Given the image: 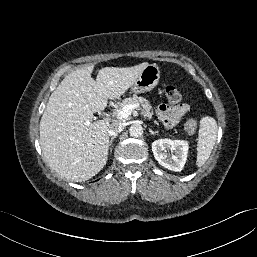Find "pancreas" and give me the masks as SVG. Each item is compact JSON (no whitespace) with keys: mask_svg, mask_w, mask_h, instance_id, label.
Returning <instances> with one entry per match:
<instances>
[{"mask_svg":"<svg viewBox=\"0 0 257 257\" xmlns=\"http://www.w3.org/2000/svg\"><path fill=\"white\" fill-rule=\"evenodd\" d=\"M127 104H140L145 110V116L148 119L152 118L153 111L149 101L143 97L133 95L124 99L122 102L118 103L117 108L114 110V113L117 114L125 105Z\"/></svg>","mask_w":257,"mask_h":257,"instance_id":"obj_1","label":"pancreas"}]
</instances>
